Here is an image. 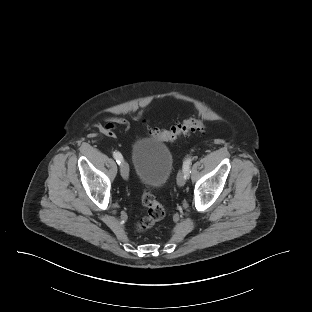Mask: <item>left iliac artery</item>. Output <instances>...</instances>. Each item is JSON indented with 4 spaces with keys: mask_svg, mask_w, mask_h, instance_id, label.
<instances>
[{
    "mask_svg": "<svg viewBox=\"0 0 312 312\" xmlns=\"http://www.w3.org/2000/svg\"><path fill=\"white\" fill-rule=\"evenodd\" d=\"M192 164V159L191 157H188L184 162H183V171L186 173V175H189V170L190 166Z\"/></svg>",
    "mask_w": 312,
    "mask_h": 312,
    "instance_id": "obj_1",
    "label": "left iliac artery"
}]
</instances>
